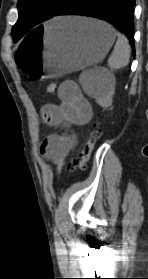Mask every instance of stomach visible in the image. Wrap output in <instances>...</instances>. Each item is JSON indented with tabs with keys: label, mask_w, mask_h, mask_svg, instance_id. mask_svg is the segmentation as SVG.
I'll use <instances>...</instances> for the list:
<instances>
[{
	"label": "stomach",
	"mask_w": 148,
	"mask_h": 279,
	"mask_svg": "<svg viewBox=\"0 0 148 279\" xmlns=\"http://www.w3.org/2000/svg\"><path fill=\"white\" fill-rule=\"evenodd\" d=\"M35 28L16 47V72L23 82H46L99 63L116 35L107 23L81 17L57 18Z\"/></svg>",
	"instance_id": "0dacf381"
}]
</instances>
